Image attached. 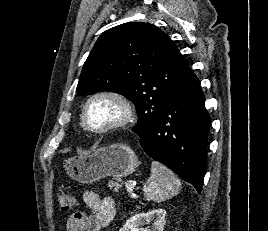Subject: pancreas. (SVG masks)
I'll use <instances>...</instances> for the list:
<instances>
[{"instance_id": "1", "label": "pancreas", "mask_w": 268, "mask_h": 231, "mask_svg": "<svg viewBox=\"0 0 268 231\" xmlns=\"http://www.w3.org/2000/svg\"><path fill=\"white\" fill-rule=\"evenodd\" d=\"M109 186H110V188H112L115 192H118L119 191V189L122 187V185L121 184H119V183H113V182H111L110 184H109Z\"/></svg>"}]
</instances>
